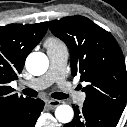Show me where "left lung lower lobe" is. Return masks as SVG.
Masks as SVG:
<instances>
[{
    "instance_id": "1",
    "label": "left lung lower lobe",
    "mask_w": 127,
    "mask_h": 127,
    "mask_svg": "<svg viewBox=\"0 0 127 127\" xmlns=\"http://www.w3.org/2000/svg\"><path fill=\"white\" fill-rule=\"evenodd\" d=\"M74 119L64 127H116L121 113L85 103L81 109L73 105Z\"/></svg>"
}]
</instances>
